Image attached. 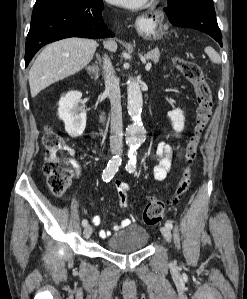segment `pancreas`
<instances>
[{
    "label": "pancreas",
    "instance_id": "pancreas-1",
    "mask_svg": "<svg viewBox=\"0 0 247 299\" xmlns=\"http://www.w3.org/2000/svg\"><path fill=\"white\" fill-rule=\"evenodd\" d=\"M160 53L158 49H154L145 55V59L152 60L157 63L159 61Z\"/></svg>",
    "mask_w": 247,
    "mask_h": 299
}]
</instances>
